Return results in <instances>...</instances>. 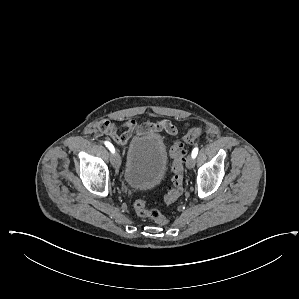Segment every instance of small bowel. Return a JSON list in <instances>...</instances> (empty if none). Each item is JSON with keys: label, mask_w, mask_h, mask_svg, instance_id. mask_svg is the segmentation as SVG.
Returning <instances> with one entry per match:
<instances>
[{"label": "small bowel", "mask_w": 299, "mask_h": 299, "mask_svg": "<svg viewBox=\"0 0 299 299\" xmlns=\"http://www.w3.org/2000/svg\"><path fill=\"white\" fill-rule=\"evenodd\" d=\"M117 121L122 123L120 129L116 128L114 125L109 123V129L105 133L119 145H126L133 134L135 133H145L152 129H162L165 130L170 135H176L178 133V128L168 121H163L159 124H145L138 125L134 119H124L117 118ZM187 124H184L186 127Z\"/></svg>", "instance_id": "c3829d8e"}]
</instances>
